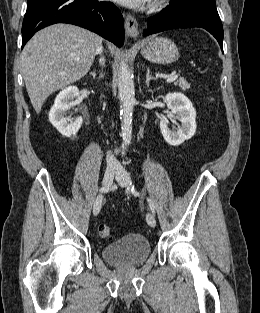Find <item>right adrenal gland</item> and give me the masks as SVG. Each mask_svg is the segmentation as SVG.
Masks as SVG:
<instances>
[{
  "label": "right adrenal gland",
  "instance_id": "obj_1",
  "mask_svg": "<svg viewBox=\"0 0 260 313\" xmlns=\"http://www.w3.org/2000/svg\"><path fill=\"white\" fill-rule=\"evenodd\" d=\"M90 74L93 76V78H101V77H103V73L101 72L100 74H99V76L97 77V75H96V72H90Z\"/></svg>",
  "mask_w": 260,
  "mask_h": 313
}]
</instances>
